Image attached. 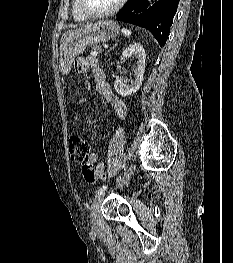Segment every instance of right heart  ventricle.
<instances>
[{
  "label": "right heart ventricle",
  "mask_w": 233,
  "mask_h": 263,
  "mask_svg": "<svg viewBox=\"0 0 233 263\" xmlns=\"http://www.w3.org/2000/svg\"><path fill=\"white\" fill-rule=\"evenodd\" d=\"M72 14L75 20L77 21H84L87 18L81 13L79 6H78V0H73L72 5Z\"/></svg>",
  "instance_id": "1"
}]
</instances>
